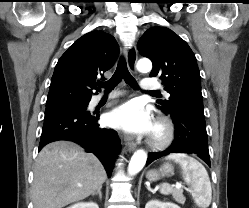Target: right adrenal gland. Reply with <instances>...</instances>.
<instances>
[{"instance_id": "obj_1", "label": "right adrenal gland", "mask_w": 249, "mask_h": 208, "mask_svg": "<svg viewBox=\"0 0 249 208\" xmlns=\"http://www.w3.org/2000/svg\"><path fill=\"white\" fill-rule=\"evenodd\" d=\"M102 187H100L95 193L92 194V196L99 195L100 200L102 199Z\"/></svg>"}]
</instances>
